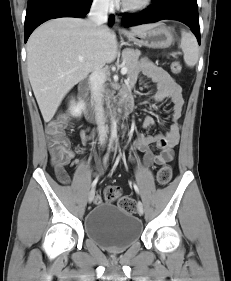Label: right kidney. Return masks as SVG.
Instances as JSON below:
<instances>
[{
    "instance_id": "right-kidney-1",
    "label": "right kidney",
    "mask_w": 231,
    "mask_h": 281,
    "mask_svg": "<svg viewBox=\"0 0 231 281\" xmlns=\"http://www.w3.org/2000/svg\"><path fill=\"white\" fill-rule=\"evenodd\" d=\"M69 110L72 116L80 117L85 110V104L82 101L76 103L75 100H72L70 102Z\"/></svg>"
}]
</instances>
